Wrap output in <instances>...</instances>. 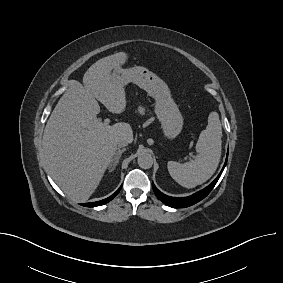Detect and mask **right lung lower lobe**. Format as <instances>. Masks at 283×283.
<instances>
[{
  "label": "right lung lower lobe",
  "instance_id": "98d812e1",
  "mask_svg": "<svg viewBox=\"0 0 283 283\" xmlns=\"http://www.w3.org/2000/svg\"><path fill=\"white\" fill-rule=\"evenodd\" d=\"M121 187L114 194H112L110 197H108L106 199H103V200L97 201V202L84 203L82 205L85 206V207H95V206L104 205V204L110 202L118 194V192L120 191Z\"/></svg>",
  "mask_w": 283,
  "mask_h": 283
}]
</instances>
